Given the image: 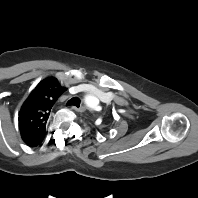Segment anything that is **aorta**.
Returning <instances> with one entry per match:
<instances>
[{
    "label": "aorta",
    "mask_w": 198,
    "mask_h": 198,
    "mask_svg": "<svg viewBox=\"0 0 198 198\" xmlns=\"http://www.w3.org/2000/svg\"><path fill=\"white\" fill-rule=\"evenodd\" d=\"M85 102H86V104H87L88 106H90V107H95V106H97V104H98L97 98H95V97H93V96H91V95H87V96L85 97Z\"/></svg>",
    "instance_id": "obj_1"
}]
</instances>
